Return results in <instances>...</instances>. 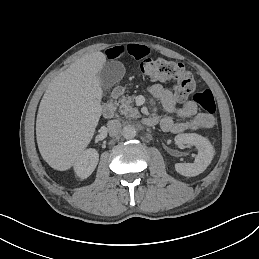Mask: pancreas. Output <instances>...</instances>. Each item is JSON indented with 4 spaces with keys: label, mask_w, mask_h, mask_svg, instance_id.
I'll list each match as a JSON object with an SVG mask.
<instances>
[{
    "label": "pancreas",
    "mask_w": 259,
    "mask_h": 259,
    "mask_svg": "<svg viewBox=\"0 0 259 259\" xmlns=\"http://www.w3.org/2000/svg\"><path fill=\"white\" fill-rule=\"evenodd\" d=\"M134 98L131 96L125 97L123 96L119 99L118 103H120L119 111L121 114L132 117V118H139L141 117L139 111L136 108L132 107V103Z\"/></svg>",
    "instance_id": "cf45deb5"
}]
</instances>
